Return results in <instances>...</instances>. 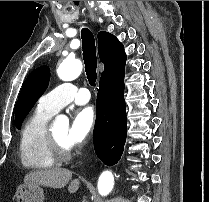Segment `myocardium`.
<instances>
[{"mask_svg":"<svg viewBox=\"0 0 209 202\" xmlns=\"http://www.w3.org/2000/svg\"><path fill=\"white\" fill-rule=\"evenodd\" d=\"M47 139L50 149L54 153L55 157L60 160L69 159L72 155V151L69 145L63 144L56 138L52 129L47 130Z\"/></svg>","mask_w":209,"mask_h":202,"instance_id":"myocardium-1","label":"myocardium"}]
</instances>
